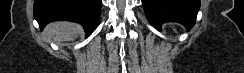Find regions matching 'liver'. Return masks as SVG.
I'll use <instances>...</instances> for the list:
<instances>
[{"mask_svg":"<svg viewBox=\"0 0 244 73\" xmlns=\"http://www.w3.org/2000/svg\"><path fill=\"white\" fill-rule=\"evenodd\" d=\"M46 31L57 41H66L75 39L80 31V27L75 23L55 22L48 25Z\"/></svg>","mask_w":244,"mask_h":73,"instance_id":"6515ba94","label":"liver"}]
</instances>
